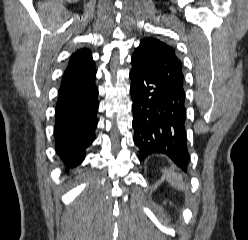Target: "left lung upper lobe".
<instances>
[{
	"mask_svg": "<svg viewBox=\"0 0 248 240\" xmlns=\"http://www.w3.org/2000/svg\"><path fill=\"white\" fill-rule=\"evenodd\" d=\"M132 57L147 64L162 78L185 93L182 62L173 47L155 37H146L141 39Z\"/></svg>",
	"mask_w": 248,
	"mask_h": 240,
	"instance_id": "1",
	"label": "left lung upper lobe"
}]
</instances>
